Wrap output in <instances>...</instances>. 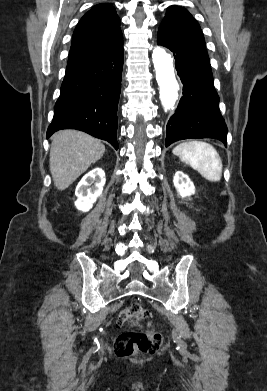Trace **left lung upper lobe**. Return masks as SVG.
<instances>
[{"label": "left lung upper lobe", "instance_id": "left-lung-upper-lobe-1", "mask_svg": "<svg viewBox=\"0 0 267 391\" xmlns=\"http://www.w3.org/2000/svg\"><path fill=\"white\" fill-rule=\"evenodd\" d=\"M159 29H167L178 35L205 45L201 28L193 16L185 9L170 6Z\"/></svg>", "mask_w": 267, "mask_h": 391}]
</instances>
